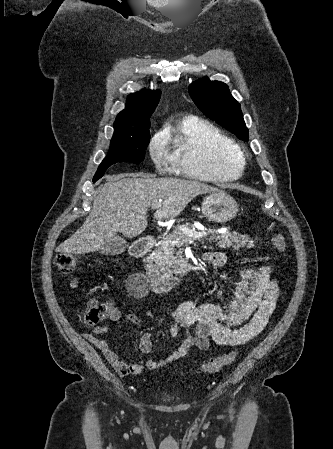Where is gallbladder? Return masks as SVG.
<instances>
[{
  "label": "gallbladder",
  "mask_w": 333,
  "mask_h": 449,
  "mask_svg": "<svg viewBox=\"0 0 333 449\" xmlns=\"http://www.w3.org/2000/svg\"><path fill=\"white\" fill-rule=\"evenodd\" d=\"M127 248V242L116 236L113 241L106 244L103 249L100 250L101 254L116 255L122 253Z\"/></svg>",
  "instance_id": "bac80fb5"
}]
</instances>
